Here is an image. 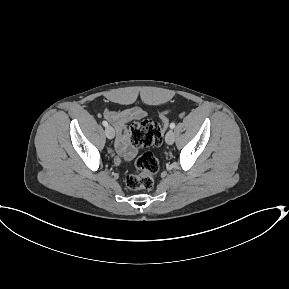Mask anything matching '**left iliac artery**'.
<instances>
[{
  "label": "left iliac artery",
  "instance_id": "left-iliac-artery-1",
  "mask_svg": "<svg viewBox=\"0 0 289 289\" xmlns=\"http://www.w3.org/2000/svg\"><path fill=\"white\" fill-rule=\"evenodd\" d=\"M170 128H171V129L175 128V123H171V124H170Z\"/></svg>",
  "mask_w": 289,
  "mask_h": 289
}]
</instances>
